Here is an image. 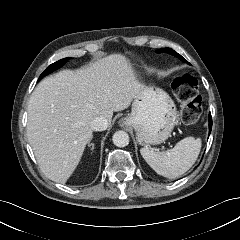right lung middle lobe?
Returning a JSON list of instances; mask_svg holds the SVG:
<instances>
[{"instance_id": "right-lung-middle-lobe-1", "label": "right lung middle lobe", "mask_w": 240, "mask_h": 240, "mask_svg": "<svg viewBox=\"0 0 240 240\" xmlns=\"http://www.w3.org/2000/svg\"><path fill=\"white\" fill-rule=\"evenodd\" d=\"M68 59H71V58L68 57V58L61 59V60H59V61L51 64L50 66H48V67L46 68V70L40 75L39 80H40L43 76H46L47 74L53 72L54 70L62 67V66L66 63V61H67Z\"/></svg>"}]
</instances>
